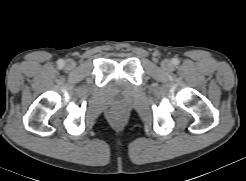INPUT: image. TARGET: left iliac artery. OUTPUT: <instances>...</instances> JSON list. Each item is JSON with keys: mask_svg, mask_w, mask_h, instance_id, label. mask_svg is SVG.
I'll return each instance as SVG.
<instances>
[{"mask_svg": "<svg viewBox=\"0 0 246 181\" xmlns=\"http://www.w3.org/2000/svg\"><path fill=\"white\" fill-rule=\"evenodd\" d=\"M173 62H174V63H177L178 61H176V60H173Z\"/></svg>", "mask_w": 246, "mask_h": 181, "instance_id": "obj_1", "label": "left iliac artery"}]
</instances>
